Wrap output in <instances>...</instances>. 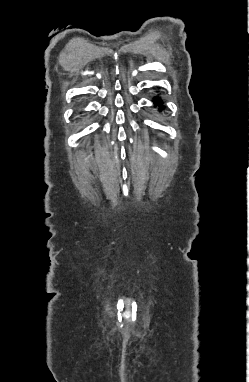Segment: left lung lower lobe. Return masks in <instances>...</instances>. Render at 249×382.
Here are the masks:
<instances>
[{
  "mask_svg": "<svg viewBox=\"0 0 249 382\" xmlns=\"http://www.w3.org/2000/svg\"><path fill=\"white\" fill-rule=\"evenodd\" d=\"M153 102H154L155 104H158V103L163 104V102H162L159 98H157V97H155V98L153 99ZM162 109H163V107L160 105V110H162Z\"/></svg>",
  "mask_w": 249,
  "mask_h": 382,
  "instance_id": "1",
  "label": "left lung lower lobe"
}]
</instances>
